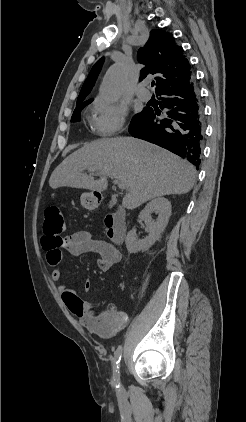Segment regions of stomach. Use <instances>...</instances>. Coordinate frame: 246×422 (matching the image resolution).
<instances>
[{
    "label": "stomach",
    "instance_id": "1",
    "mask_svg": "<svg viewBox=\"0 0 246 422\" xmlns=\"http://www.w3.org/2000/svg\"><path fill=\"white\" fill-rule=\"evenodd\" d=\"M81 204L87 209H93L95 207V197L92 193H83L81 195Z\"/></svg>",
    "mask_w": 246,
    "mask_h": 422
}]
</instances>
